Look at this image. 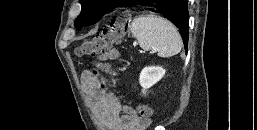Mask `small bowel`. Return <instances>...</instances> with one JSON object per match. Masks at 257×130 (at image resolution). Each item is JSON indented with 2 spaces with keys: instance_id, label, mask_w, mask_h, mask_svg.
Returning a JSON list of instances; mask_svg holds the SVG:
<instances>
[{
  "instance_id": "1",
  "label": "small bowel",
  "mask_w": 257,
  "mask_h": 130,
  "mask_svg": "<svg viewBox=\"0 0 257 130\" xmlns=\"http://www.w3.org/2000/svg\"><path fill=\"white\" fill-rule=\"evenodd\" d=\"M115 56V51H110L100 59L104 61ZM81 82L91 106L108 130H145L150 124V120L139 117L131 107L122 106L114 93L103 89V81L91 71L82 73Z\"/></svg>"
}]
</instances>
